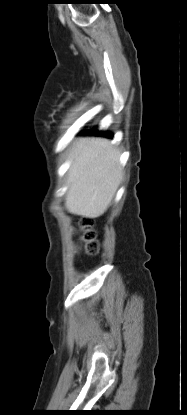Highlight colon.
<instances>
[{
	"mask_svg": "<svg viewBox=\"0 0 187 415\" xmlns=\"http://www.w3.org/2000/svg\"><path fill=\"white\" fill-rule=\"evenodd\" d=\"M81 231L86 252L89 254H95L98 251V242L96 240V234L92 228L91 220L86 219L83 221Z\"/></svg>",
	"mask_w": 187,
	"mask_h": 415,
	"instance_id": "obj_1",
	"label": "colon"
}]
</instances>
